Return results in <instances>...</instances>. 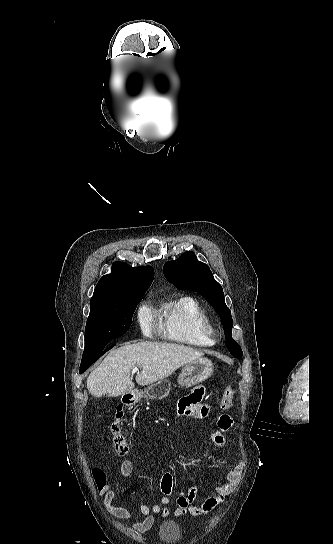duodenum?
Returning a JSON list of instances; mask_svg holds the SVG:
<instances>
[{
  "mask_svg": "<svg viewBox=\"0 0 333 544\" xmlns=\"http://www.w3.org/2000/svg\"><path fill=\"white\" fill-rule=\"evenodd\" d=\"M133 402V398L131 395H126L125 396V403H132Z\"/></svg>",
  "mask_w": 333,
  "mask_h": 544,
  "instance_id": "1",
  "label": "duodenum"
}]
</instances>
